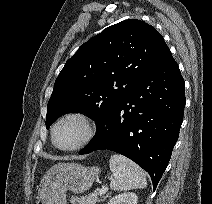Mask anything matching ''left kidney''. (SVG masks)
Returning <instances> with one entry per match:
<instances>
[{
  "label": "left kidney",
  "instance_id": "obj_1",
  "mask_svg": "<svg viewBox=\"0 0 212 204\" xmlns=\"http://www.w3.org/2000/svg\"><path fill=\"white\" fill-rule=\"evenodd\" d=\"M137 201L138 197L135 193L125 192L112 197L108 204H137Z\"/></svg>",
  "mask_w": 212,
  "mask_h": 204
}]
</instances>
